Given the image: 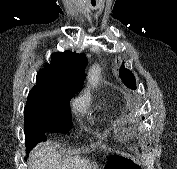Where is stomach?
<instances>
[{
    "label": "stomach",
    "instance_id": "0dacf381",
    "mask_svg": "<svg viewBox=\"0 0 177 169\" xmlns=\"http://www.w3.org/2000/svg\"><path fill=\"white\" fill-rule=\"evenodd\" d=\"M108 169H142V165L133 157L126 155H113L110 157Z\"/></svg>",
    "mask_w": 177,
    "mask_h": 169
}]
</instances>
